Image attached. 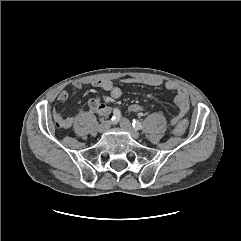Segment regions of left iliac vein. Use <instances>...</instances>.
I'll list each match as a JSON object with an SVG mask.
<instances>
[{"instance_id":"4c4485c4","label":"left iliac vein","mask_w":241,"mask_h":241,"mask_svg":"<svg viewBox=\"0 0 241 241\" xmlns=\"http://www.w3.org/2000/svg\"><path fill=\"white\" fill-rule=\"evenodd\" d=\"M120 126L122 129L127 131L134 139L140 138L139 132L132 127L131 123L126 118H122L120 120Z\"/></svg>"}]
</instances>
